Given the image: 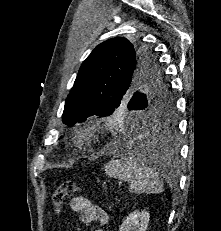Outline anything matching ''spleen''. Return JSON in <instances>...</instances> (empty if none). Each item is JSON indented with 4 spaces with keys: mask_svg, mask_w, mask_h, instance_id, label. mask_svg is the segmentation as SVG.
Segmentation results:
<instances>
[{
    "mask_svg": "<svg viewBox=\"0 0 221 231\" xmlns=\"http://www.w3.org/2000/svg\"><path fill=\"white\" fill-rule=\"evenodd\" d=\"M105 173L129 182L130 191L136 194H158L163 191L160 174L132 156L123 160H111L105 166Z\"/></svg>",
    "mask_w": 221,
    "mask_h": 231,
    "instance_id": "spleen-1",
    "label": "spleen"
}]
</instances>
